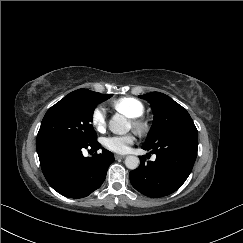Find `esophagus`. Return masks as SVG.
I'll use <instances>...</instances> for the list:
<instances>
[{
    "label": "esophagus",
    "instance_id": "34e87169",
    "mask_svg": "<svg viewBox=\"0 0 243 243\" xmlns=\"http://www.w3.org/2000/svg\"><path fill=\"white\" fill-rule=\"evenodd\" d=\"M114 157H115V159H124L125 158L124 155H118V154H115Z\"/></svg>",
    "mask_w": 243,
    "mask_h": 243
}]
</instances>
